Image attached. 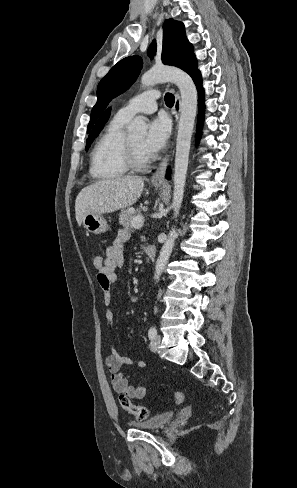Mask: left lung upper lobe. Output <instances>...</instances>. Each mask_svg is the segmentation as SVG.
<instances>
[{"label": "left lung upper lobe", "mask_w": 297, "mask_h": 488, "mask_svg": "<svg viewBox=\"0 0 297 488\" xmlns=\"http://www.w3.org/2000/svg\"><path fill=\"white\" fill-rule=\"evenodd\" d=\"M163 29V63L176 66L187 72L191 77L200 73L197 68V59L194 55L193 47L186 38L184 25L179 21L168 19L164 22ZM155 52L156 43L153 41L149 47L148 56L153 58ZM142 66L141 57H126L113 66L100 81L97 89V102L91 112L88 132L108 103L125 92L135 82Z\"/></svg>", "instance_id": "1"}]
</instances>
